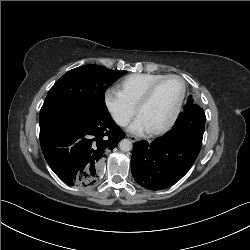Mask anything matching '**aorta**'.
I'll use <instances>...</instances> for the list:
<instances>
[{
	"label": "aorta",
	"mask_w": 250,
	"mask_h": 250,
	"mask_svg": "<svg viewBox=\"0 0 250 250\" xmlns=\"http://www.w3.org/2000/svg\"><path fill=\"white\" fill-rule=\"evenodd\" d=\"M119 148L123 152H128L132 149V142L129 139H123L119 143Z\"/></svg>",
	"instance_id": "1"
}]
</instances>
